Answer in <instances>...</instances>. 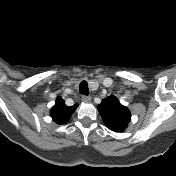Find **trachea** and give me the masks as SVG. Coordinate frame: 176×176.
<instances>
[{"instance_id": "obj_1", "label": "trachea", "mask_w": 176, "mask_h": 176, "mask_svg": "<svg viewBox=\"0 0 176 176\" xmlns=\"http://www.w3.org/2000/svg\"><path fill=\"white\" fill-rule=\"evenodd\" d=\"M79 91L81 94L83 95H88L89 94V88H88V84L86 81H82L79 85Z\"/></svg>"}]
</instances>
